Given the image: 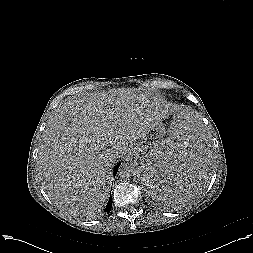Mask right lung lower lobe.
<instances>
[{
  "label": "right lung lower lobe",
  "instance_id": "98d812e1",
  "mask_svg": "<svg viewBox=\"0 0 253 253\" xmlns=\"http://www.w3.org/2000/svg\"><path fill=\"white\" fill-rule=\"evenodd\" d=\"M119 165L120 164H117L116 167L114 168V176L116 175L117 171H118V168H119ZM112 208V199L110 197L108 203H107V206L105 207L104 211L108 214L110 212Z\"/></svg>",
  "mask_w": 253,
  "mask_h": 253
}]
</instances>
